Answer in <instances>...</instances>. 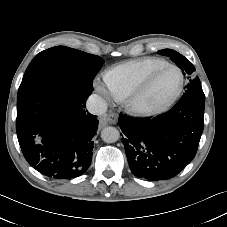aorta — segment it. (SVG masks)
Listing matches in <instances>:
<instances>
[{
	"mask_svg": "<svg viewBox=\"0 0 227 227\" xmlns=\"http://www.w3.org/2000/svg\"><path fill=\"white\" fill-rule=\"evenodd\" d=\"M101 138L106 143H114L120 138V132L115 127H105L101 131Z\"/></svg>",
	"mask_w": 227,
	"mask_h": 227,
	"instance_id": "obj_1",
	"label": "aorta"
}]
</instances>
